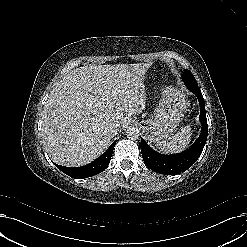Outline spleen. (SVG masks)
I'll return each mask as SVG.
<instances>
[{
  "label": "spleen",
  "mask_w": 247,
  "mask_h": 247,
  "mask_svg": "<svg viewBox=\"0 0 247 247\" xmlns=\"http://www.w3.org/2000/svg\"><path fill=\"white\" fill-rule=\"evenodd\" d=\"M191 126L187 125L172 137L156 142V147L164 153H178L185 150L191 141Z\"/></svg>",
  "instance_id": "1"
}]
</instances>
